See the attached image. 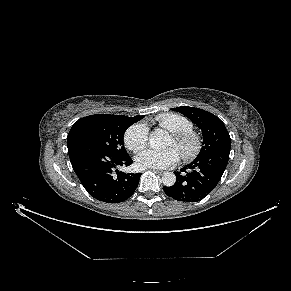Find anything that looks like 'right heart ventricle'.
<instances>
[{"label":"right heart ventricle","mask_w":291,"mask_h":291,"mask_svg":"<svg viewBox=\"0 0 291 291\" xmlns=\"http://www.w3.org/2000/svg\"><path fill=\"white\" fill-rule=\"evenodd\" d=\"M155 122L159 127L166 129L171 133L191 130L193 127L191 120L177 113H165L158 115L155 118Z\"/></svg>","instance_id":"obj_1"}]
</instances>
